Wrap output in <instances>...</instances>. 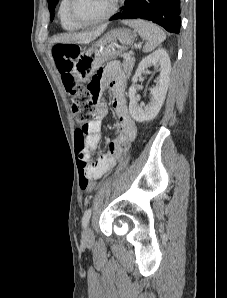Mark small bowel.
I'll return each instance as SVG.
<instances>
[{"mask_svg":"<svg viewBox=\"0 0 227 298\" xmlns=\"http://www.w3.org/2000/svg\"><path fill=\"white\" fill-rule=\"evenodd\" d=\"M101 68L103 69H95V75L88 78V82H86L87 91L91 92L89 95L90 103H95L96 118L91 117V123L82 126V129L86 130L85 157L89 160L90 153L98 148L102 138V120L108 111L106 102L102 100L106 89L111 95L112 106L119 120V131L109 143L108 152L98 157L84 169L92 179L101 178L113 168L122 147L130 144L137 133L136 123L126 105L124 96L126 77L120 64L116 61L101 63ZM78 165L81 168L79 162Z\"/></svg>","mask_w":227,"mask_h":298,"instance_id":"1","label":"small bowel"}]
</instances>
